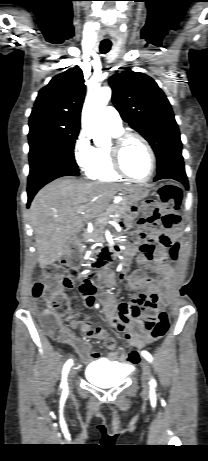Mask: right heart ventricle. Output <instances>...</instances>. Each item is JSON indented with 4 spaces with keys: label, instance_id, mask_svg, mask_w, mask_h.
Returning a JSON list of instances; mask_svg holds the SVG:
<instances>
[{
    "label": "right heart ventricle",
    "instance_id": "e07e8e85",
    "mask_svg": "<svg viewBox=\"0 0 208 461\" xmlns=\"http://www.w3.org/2000/svg\"><path fill=\"white\" fill-rule=\"evenodd\" d=\"M110 132L116 137L122 133V129L110 130ZM85 173L88 178L98 181L113 182L123 179L112 166L109 147H94L92 158L85 168Z\"/></svg>",
    "mask_w": 208,
    "mask_h": 461
}]
</instances>
